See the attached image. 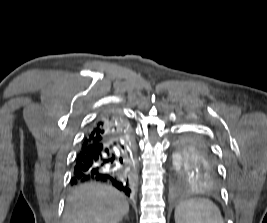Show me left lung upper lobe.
Returning <instances> with one entry per match:
<instances>
[{"label": "left lung upper lobe", "mask_w": 267, "mask_h": 223, "mask_svg": "<svg viewBox=\"0 0 267 223\" xmlns=\"http://www.w3.org/2000/svg\"><path fill=\"white\" fill-rule=\"evenodd\" d=\"M178 171H217L208 144L196 137H185L179 143Z\"/></svg>", "instance_id": "obj_1"}]
</instances>
